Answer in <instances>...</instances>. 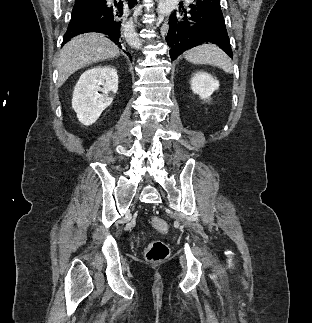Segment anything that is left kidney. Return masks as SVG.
Masks as SVG:
<instances>
[{
  "mask_svg": "<svg viewBox=\"0 0 312 323\" xmlns=\"http://www.w3.org/2000/svg\"><path fill=\"white\" fill-rule=\"evenodd\" d=\"M191 88L194 94H199L203 100V98H209L215 90H218L219 82L207 72H196L191 80Z\"/></svg>",
  "mask_w": 312,
  "mask_h": 323,
  "instance_id": "left-kidney-1",
  "label": "left kidney"
}]
</instances>
